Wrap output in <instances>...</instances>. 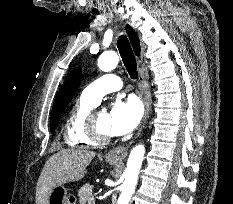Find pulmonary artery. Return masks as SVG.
<instances>
[{"label": "pulmonary artery", "instance_id": "1", "mask_svg": "<svg viewBox=\"0 0 233 204\" xmlns=\"http://www.w3.org/2000/svg\"><path fill=\"white\" fill-rule=\"evenodd\" d=\"M123 87L122 80L115 74H106L89 84L82 92L86 99L98 104L102 97Z\"/></svg>", "mask_w": 233, "mask_h": 204}]
</instances>
